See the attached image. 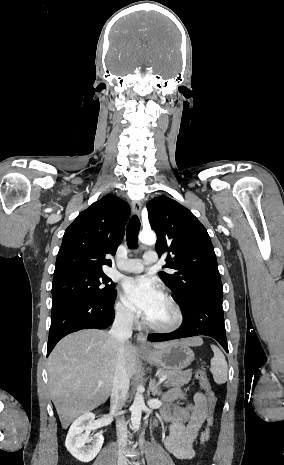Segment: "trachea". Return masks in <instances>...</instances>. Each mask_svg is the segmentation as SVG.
Returning <instances> with one entry per match:
<instances>
[{
  "label": "trachea",
  "instance_id": "1",
  "mask_svg": "<svg viewBox=\"0 0 284 465\" xmlns=\"http://www.w3.org/2000/svg\"><path fill=\"white\" fill-rule=\"evenodd\" d=\"M140 230V221L136 215L130 218L126 227V240L129 248L138 247V234Z\"/></svg>",
  "mask_w": 284,
  "mask_h": 465
}]
</instances>
